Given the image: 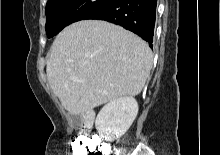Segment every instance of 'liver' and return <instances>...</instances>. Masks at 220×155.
<instances>
[{"mask_svg": "<svg viewBox=\"0 0 220 155\" xmlns=\"http://www.w3.org/2000/svg\"><path fill=\"white\" fill-rule=\"evenodd\" d=\"M152 58L148 44L132 32L105 21L82 20L55 38L47 79L67 112L79 115L109 101L138 95Z\"/></svg>", "mask_w": 220, "mask_h": 155, "instance_id": "1", "label": "liver"}]
</instances>
